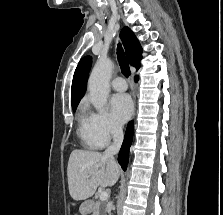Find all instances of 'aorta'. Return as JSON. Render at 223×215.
I'll use <instances>...</instances> for the list:
<instances>
[{
	"label": "aorta",
	"mask_w": 223,
	"mask_h": 215,
	"mask_svg": "<svg viewBox=\"0 0 223 215\" xmlns=\"http://www.w3.org/2000/svg\"><path fill=\"white\" fill-rule=\"evenodd\" d=\"M113 72V62L109 58L99 56L88 80L89 98L97 111H104V106L110 92V78Z\"/></svg>",
	"instance_id": "obj_1"
}]
</instances>
